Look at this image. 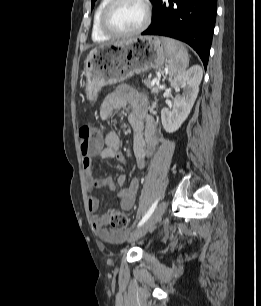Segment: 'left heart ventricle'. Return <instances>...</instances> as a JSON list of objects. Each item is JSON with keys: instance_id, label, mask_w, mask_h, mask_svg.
Masks as SVG:
<instances>
[{"instance_id": "obj_1", "label": "left heart ventricle", "mask_w": 261, "mask_h": 306, "mask_svg": "<svg viewBox=\"0 0 261 306\" xmlns=\"http://www.w3.org/2000/svg\"><path fill=\"white\" fill-rule=\"evenodd\" d=\"M145 9L139 0H122L111 12L110 23L119 31L136 29L144 20Z\"/></svg>"}]
</instances>
